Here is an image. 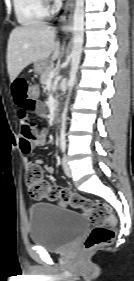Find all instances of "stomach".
<instances>
[{
    "label": "stomach",
    "instance_id": "stomach-1",
    "mask_svg": "<svg viewBox=\"0 0 134 281\" xmlns=\"http://www.w3.org/2000/svg\"><path fill=\"white\" fill-rule=\"evenodd\" d=\"M48 66V61H38L34 63V70L36 73H41Z\"/></svg>",
    "mask_w": 134,
    "mask_h": 281
}]
</instances>
